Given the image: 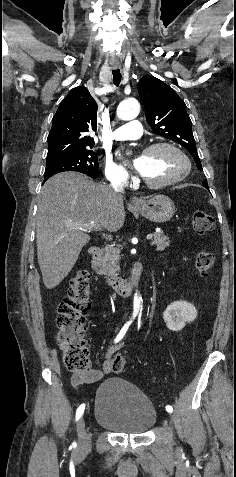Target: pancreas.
Instances as JSON below:
<instances>
[{
	"instance_id": "obj_1",
	"label": "pancreas",
	"mask_w": 236,
	"mask_h": 477,
	"mask_svg": "<svg viewBox=\"0 0 236 477\" xmlns=\"http://www.w3.org/2000/svg\"><path fill=\"white\" fill-rule=\"evenodd\" d=\"M154 239L151 244L157 247V250L163 251L166 247L170 245L169 238L163 234V232H155L153 234ZM120 250L115 248L114 245H108L102 251L98 261L99 273L107 275L108 277L114 278L118 275L119 266V255Z\"/></svg>"
}]
</instances>
